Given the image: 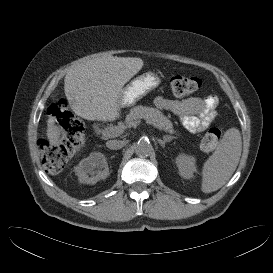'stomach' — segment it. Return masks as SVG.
I'll use <instances>...</instances> for the list:
<instances>
[{
    "mask_svg": "<svg viewBox=\"0 0 273 273\" xmlns=\"http://www.w3.org/2000/svg\"><path fill=\"white\" fill-rule=\"evenodd\" d=\"M161 80L155 72H146L129 82L121 92L122 107L132 106L150 91L158 87Z\"/></svg>",
    "mask_w": 273,
    "mask_h": 273,
    "instance_id": "1",
    "label": "stomach"
}]
</instances>
